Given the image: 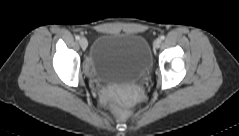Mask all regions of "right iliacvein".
Segmentation results:
<instances>
[{"instance_id": "63e3f726", "label": "right iliac vein", "mask_w": 239, "mask_h": 136, "mask_svg": "<svg viewBox=\"0 0 239 136\" xmlns=\"http://www.w3.org/2000/svg\"><path fill=\"white\" fill-rule=\"evenodd\" d=\"M79 44L83 49H86L88 46V41L85 38H81Z\"/></svg>"}]
</instances>
